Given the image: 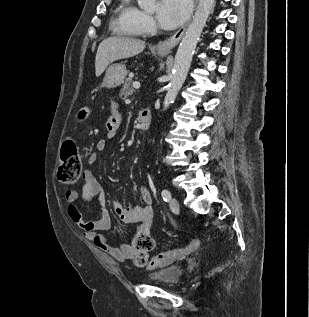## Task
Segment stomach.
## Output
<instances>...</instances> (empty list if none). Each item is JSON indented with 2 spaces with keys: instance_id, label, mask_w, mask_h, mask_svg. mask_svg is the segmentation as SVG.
I'll return each instance as SVG.
<instances>
[{
  "instance_id": "obj_1",
  "label": "stomach",
  "mask_w": 309,
  "mask_h": 317,
  "mask_svg": "<svg viewBox=\"0 0 309 317\" xmlns=\"http://www.w3.org/2000/svg\"><path fill=\"white\" fill-rule=\"evenodd\" d=\"M160 55L165 53L159 52ZM127 75V70L123 64H112L106 70V74L102 83L103 87L106 88H115L121 85Z\"/></svg>"
}]
</instances>
